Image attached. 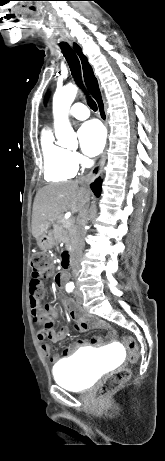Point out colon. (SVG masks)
I'll return each mask as SVG.
<instances>
[{"label": "colon", "mask_w": 165, "mask_h": 461, "mask_svg": "<svg viewBox=\"0 0 165 461\" xmlns=\"http://www.w3.org/2000/svg\"><path fill=\"white\" fill-rule=\"evenodd\" d=\"M31 293L40 299L44 294L41 279L52 273V267L49 257L45 254H36L31 262ZM123 343L128 350V359L131 363H136L139 359V349L136 340L131 336H124ZM131 377V371L128 368H122L108 375L101 383L100 395L107 397L120 389Z\"/></svg>", "instance_id": "obj_1"}]
</instances>
